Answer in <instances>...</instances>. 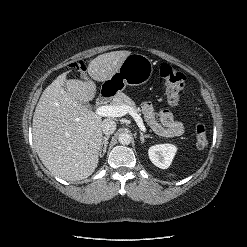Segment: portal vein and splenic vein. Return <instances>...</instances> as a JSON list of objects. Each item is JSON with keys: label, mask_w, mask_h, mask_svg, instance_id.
<instances>
[{"label": "portal vein and splenic vein", "mask_w": 247, "mask_h": 247, "mask_svg": "<svg viewBox=\"0 0 247 247\" xmlns=\"http://www.w3.org/2000/svg\"><path fill=\"white\" fill-rule=\"evenodd\" d=\"M97 115L102 116V117H122L129 113L134 120L136 121L138 127L140 128L141 131L146 132V127L143 123L142 118L140 115L130 106L128 105H105V106H100L96 109L95 112Z\"/></svg>", "instance_id": "obj_1"}]
</instances>
